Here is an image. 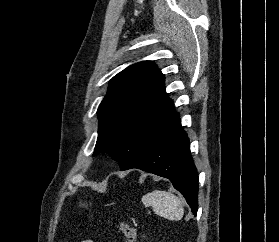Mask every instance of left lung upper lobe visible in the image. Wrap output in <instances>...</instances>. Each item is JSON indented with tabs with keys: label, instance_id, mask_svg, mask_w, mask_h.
<instances>
[{
	"label": "left lung upper lobe",
	"instance_id": "obj_1",
	"mask_svg": "<svg viewBox=\"0 0 279 242\" xmlns=\"http://www.w3.org/2000/svg\"><path fill=\"white\" fill-rule=\"evenodd\" d=\"M98 118L93 155L106 152L122 170L180 120L165 92L164 76L152 61L133 64L110 80Z\"/></svg>",
	"mask_w": 279,
	"mask_h": 242
}]
</instances>
